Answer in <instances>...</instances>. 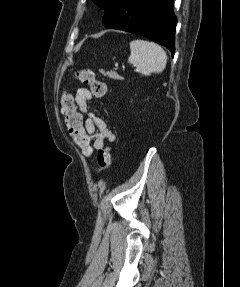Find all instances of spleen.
Masks as SVG:
<instances>
[{"label": "spleen", "mask_w": 240, "mask_h": 287, "mask_svg": "<svg viewBox=\"0 0 240 287\" xmlns=\"http://www.w3.org/2000/svg\"><path fill=\"white\" fill-rule=\"evenodd\" d=\"M131 54L128 62L136 67L137 72L148 76L161 73L167 64L166 52L156 43L136 39L130 42Z\"/></svg>", "instance_id": "3e777b00"}]
</instances>
